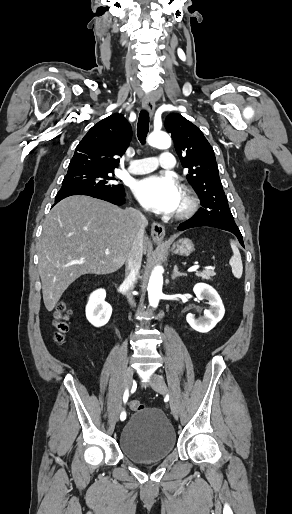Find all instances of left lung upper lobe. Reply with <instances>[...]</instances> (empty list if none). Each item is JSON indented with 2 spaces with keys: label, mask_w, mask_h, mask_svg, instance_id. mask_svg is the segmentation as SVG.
Listing matches in <instances>:
<instances>
[{
  "label": "left lung upper lobe",
  "mask_w": 292,
  "mask_h": 514,
  "mask_svg": "<svg viewBox=\"0 0 292 514\" xmlns=\"http://www.w3.org/2000/svg\"><path fill=\"white\" fill-rule=\"evenodd\" d=\"M165 128L172 134L182 166L189 168L187 180L199 196L202 207L195 214L196 218L236 225L221 184L213 148L201 130L177 113L166 117Z\"/></svg>",
  "instance_id": "1"
}]
</instances>
